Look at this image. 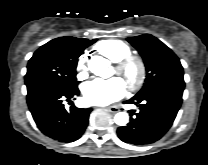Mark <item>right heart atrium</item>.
<instances>
[{"instance_id":"d8ad5b80","label":"right heart atrium","mask_w":208,"mask_h":165,"mask_svg":"<svg viewBox=\"0 0 208 165\" xmlns=\"http://www.w3.org/2000/svg\"><path fill=\"white\" fill-rule=\"evenodd\" d=\"M88 56L87 54H83L76 63V71H77V78L79 80H83L87 77L88 71Z\"/></svg>"}]
</instances>
